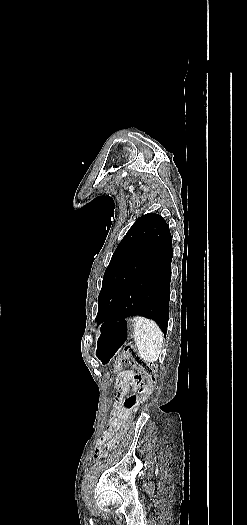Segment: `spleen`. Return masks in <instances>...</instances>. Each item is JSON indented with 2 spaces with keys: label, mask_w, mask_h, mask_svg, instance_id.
<instances>
[{
  "label": "spleen",
  "mask_w": 247,
  "mask_h": 525,
  "mask_svg": "<svg viewBox=\"0 0 247 525\" xmlns=\"http://www.w3.org/2000/svg\"><path fill=\"white\" fill-rule=\"evenodd\" d=\"M134 321V341L139 355L145 363H155L162 351L163 333L150 319L134 317Z\"/></svg>",
  "instance_id": "3e777b00"
}]
</instances>
